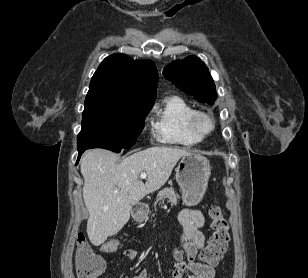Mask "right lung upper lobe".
I'll list each match as a JSON object with an SVG mask.
<instances>
[{"mask_svg": "<svg viewBox=\"0 0 308 278\" xmlns=\"http://www.w3.org/2000/svg\"><path fill=\"white\" fill-rule=\"evenodd\" d=\"M158 73L150 61L124 54L104 59L94 73L82 116L134 112L154 103Z\"/></svg>", "mask_w": 308, "mask_h": 278, "instance_id": "obj_1", "label": "right lung upper lobe"}]
</instances>
